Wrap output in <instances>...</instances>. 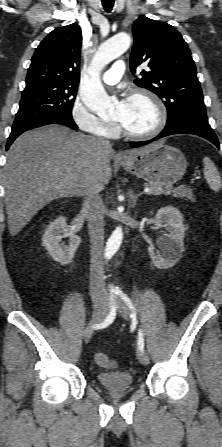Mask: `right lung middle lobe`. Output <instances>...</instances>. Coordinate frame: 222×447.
<instances>
[{
  "label": "right lung middle lobe",
  "instance_id": "dd1d6c3e",
  "mask_svg": "<svg viewBox=\"0 0 222 447\" xmlns=\"http://www.w3.org/2000/svg\"><path fill=\"white\" fill-rule=\"evenodd\" d=\"M76 93L77 86L43 85L25 88L12 130L52 117H72Z\"/></svg>",
  "mask_w": 222,
  "mask_h": 447
}]
</instances>
